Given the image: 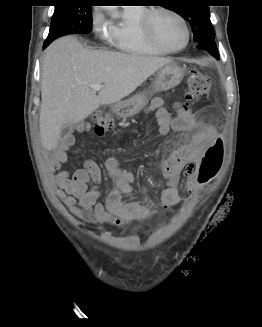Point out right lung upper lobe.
I'll return each mask as SVG.
<instances>
[{"label":"right lung upper lobe","instance_id":"1","mask_svg":"<svg viewBox=\"0 0 262 327\" xmlns=\"http://www.w3.org/2000/svg\"><path fill=\"white\" fill-rule=\"evenodd\" d=\"M57 1H67V0H57Z\"/></svg>","mask_w":262,"mask_h":327}]
</instances>
